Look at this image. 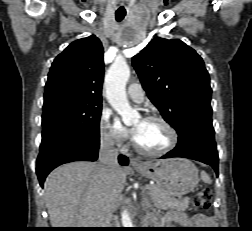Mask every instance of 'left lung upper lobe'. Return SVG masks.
<instances>
[{
	"mask_svg": "<svg viewBox=\"0 0 252 231\" xmlns=\"http://www.w3.org/2000/svg\"><path fill=\"white\" fill-rule=\"evenodd\" d=\"M132 63L149 99L177 132L192 121H212L209 74L194 49L155 38Z\"/></svg>",
	"mask_w": 252,
	"mask_h": 231,
	"instance_id": "obj_1",
	"label": "left lung upper lobe"
}]
</instances>
